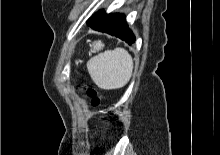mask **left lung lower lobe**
Segmentation results:
<instances>
[{
  "label": "left lung lower lobe",
  "mask_w": 220,
  "mask_h": 155,
  "mask_svg": "<svg viewBox=\"0 0 220 155\" xmlns=\"http://www.w3.org/2000/svg\"><path fill=\"white\" fill-rule=\"evenodd\" d=\"M87 25L94 30L116 36L129 44L135 42V36L128 28L123 14H106L100 11L87 21Z\"/></svg>",
  "instance_id": "0a47b994"
}]
</instances>
